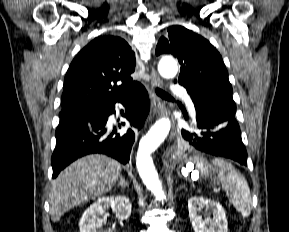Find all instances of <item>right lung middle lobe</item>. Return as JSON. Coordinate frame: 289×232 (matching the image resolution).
I'll return each mask as SVG.
<instances>
[{"label":"right lung middle lobe","mask_w":289,"mask_h":232,"mask_svg":"<svg viewBox=\"0 0 289 232\" xmlns=\"http://www.w3.org/2000/svg\"><path fill=\"white\" fill-rule=\"evenodd\" d=\"M88 109H80V110H70V111H61L59 116L61 118H69V117H73L76 115H80L82 113H84L85 111H87Z\"/></svg>","instance_id":"obj_1"}]
</instances>
